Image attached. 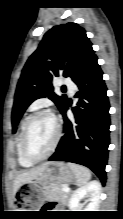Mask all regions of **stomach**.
Instances as JSON below:
<instances>
[{
	"mask_svg": "<svg viewBox=\"0 0 123 219\" xmlns=\"http://www.w3.org/2000/svg\"><path fill=\"white\" fill-rule=\"evenodd\" d=\"M75 175L70 167L63 162H51L37 178L24 184L25 189L20 195L19 209H38L44 202V190L50 183H72ZM34 211V210H15Z\"/></svg>",
	"mask_w": 123,
	"mask_h": 219,
	"instance_id": "stomach-1",
	"label": "stomach"
}]
</instances>
